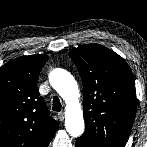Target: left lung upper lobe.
I'll return each instance as SVG.
<instances>
[{
    "instance_id": "1",
    "label": "left lung upper lobe",
    "mask_w": 147,
    "mask_h": 147,
    "mask_svg": "<svg viewBox=\"0 0 147 147\" xmlns=\"http://www.w3.org/2000/svg\"><path fill=\"white\" fill-rule=\"evenodd\" d=\"M83 83L85 147H124L136 114V91L127 62L100 44L69 51Z\"/></svg>"
}]
</instances>
